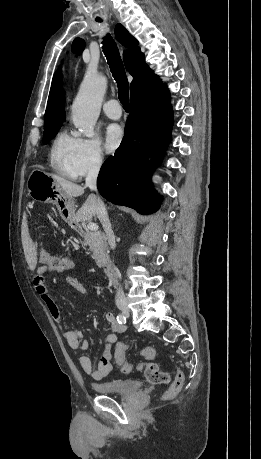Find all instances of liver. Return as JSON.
Segmentation results:
<instances>
[{"label":"liver","instance_id":"6515ba94","mask_svg":"<svg viewBox=\"0 0 261 459\" xmlns=\"http://www.w3.org/2000/svg\"><path fill=\"white\" fill-rule=\"evenodd\" d=\"M52 178L62 188L67 197H78L84 194V187L68 181L60 176L50 174ZM96 211L94 206L93 196L90 195L82 207L77 211L74 216L75 221L90 220L95 217ZM25 258L28 263L29 269L34 271L37 265V251L36 246L33 244L29 236H26L23 243Z\"/></svg>","mask_w":261,"mask_h":459}]
</instances>
